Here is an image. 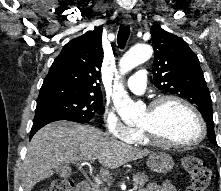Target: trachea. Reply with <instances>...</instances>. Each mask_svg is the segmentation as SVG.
<instances>
[{"label":"trachea","mask_w":221,"mask_h":191,"mask_svg":"<svg viewBox=\"0 0 221 191\" xmlns=\"http://www.w3.org/2000/svg\"><path fill=\"white\" fill-rule=\"evenodd\" d=\"M129 35H130V26L128 25L125 26L121 24L117 35L119 48L123 49L125 47Z\"/></svg>","instance_id":"trachea-1"}]
</instances>
